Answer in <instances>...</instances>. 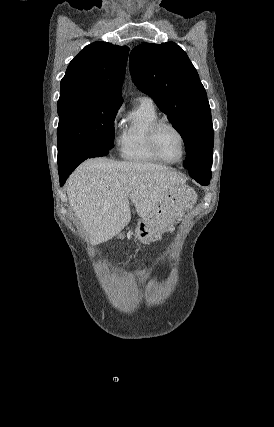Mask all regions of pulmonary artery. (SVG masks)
Returning <instances> with one entry per match:
<instances>
[{"label": "pulmonary artery", "instance_id": "pulmonary-artery-1", "mask_svg": "<svg viewBox=\"0 0 274 427\" xmlns=\"http://www.w3.org/2000/svg\"><path fill=\"white\" fill-rule=\"evenodd\" d=\"M140 105H147V106L154 107V103H153L152 99L149 97L140 98Z\"/></svg>", "mask_w": 274, "mask_h": 427}]
</instances>
